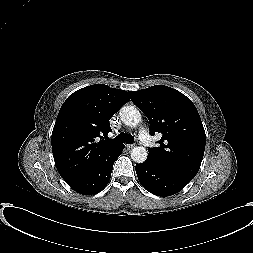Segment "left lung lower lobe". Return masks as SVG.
Returning <instances> with one entry per match:
<instances>
[{
    "label": "left lung lower lobe",
    "instance_id": "0a47b994",
    "mask_svg": "<svg viewBox=\"0 0 253 253\" xmlns=\"http://www.w3.org/2000/svg\"><path fill=\"white\" fill-rule=\"evenodd\" d=\"M135 169L142 186L158 196L176 194L192 180L159 165L148 157L145 162L137 164Z\"/></svg>",
    "mask_w": 253,
    "mask_h": 253
}]
</instances>
